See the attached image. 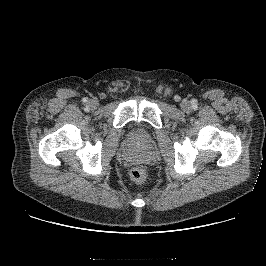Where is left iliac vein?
Wrapping results in <instances>:
<instances>
[{"label": "left iliac vein", "mask_w": 266, "mask_h": 266, "mask_svg": "<svg viewBox=\"0 0 266 266\" xmlns=\"http://www.w3.org/2000/svg\"><path fill=\"white\" fill-rule=\"evenodd\" d=\"M181 108L184 112H189L191 110V106L188 102L182 103Z\"/></svg>", "instance_id": "4c4485c4"}]
</instances>
